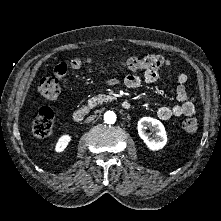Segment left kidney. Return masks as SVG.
I'll use <instances>...</instances> for the list:
<instances>
[{
    "mask_svg": "<svg viewBox=\"0 0 221 221\" xmlns=\"http://www.w3.org/2000/svg\"><path fill=\"white\" fill-rule=\"evenodd\" d=\"M147 127L155 131V138H150L146 134ZM138 134L143 139L146 146L152 150H160L167 143V134L164 125L157 119L151 117H143L138 121L137 125Z\"/></svg>",
    "mask_w": 221,
    "mask_h": 221,
    "instance_id": "obj_1",
    "label": "left kidney"
}]
</instances>
